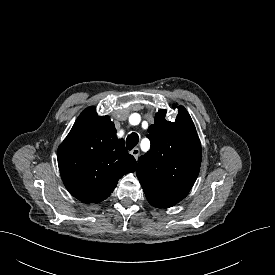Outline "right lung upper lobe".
<instances>
[{
	"label": "right lung upper lobe",
	"mask_w": 275,
	"mask_h": 275,
	"mask_svg": "<svg viewBox=\"0 0 275 275\" xmlns=\"http://www.w3.org/2000/svg\"><path fill=\"white\" fill-rule=\"evenodd\" d=\"M58 166L69 193L83 203L110 196L118 180L136 170V160L117 139L114 123L86 108L59 146Z\"/></svg>",
	"instance_id": "cb5924a9"
}]
</instances>
